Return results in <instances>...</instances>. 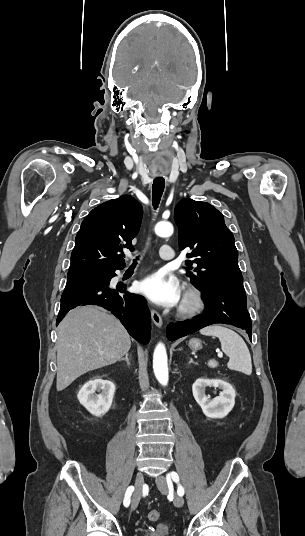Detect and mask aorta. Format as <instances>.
<instances>
[{"mask_svg":"<svg viewBox=\"0 0 305 536\" xmlns=\"http://www.w3.org/2000/svg\"><path fill=\"white\" fill-rule=\"evenodd\" d=\"M173 225L170 222H158L155 233L160 237H169L173 234ZM153 370L158 382L166 386L168 384V358L165 345L158 343L153 354Z\"/></svg>","mask_w":305,"mask_h":536,"instance_id":"aorta-1","label":"aorta"}]
</instances>
